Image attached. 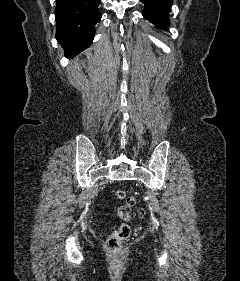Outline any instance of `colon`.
Masks as SVG:
<instances>
[{
    "mask_svg": "<svg viewBox=\"0 0 240 281\" xmlns=\"http://www.w3.org/2000/svg\"><path fill=\"white\" fill-rule=\"evenodd\" d=\"M116 196L123 200L124 204L118 209V216L122 220L119 227L113 231L106 240V250L110 254L120 252L123 243L129 238L131 229L128 224L134 217L132 208L136 205V198L123 190L116 191ZM143 211L139 210L138 214L142 215Z\"/></svg>",
    "mask_w": 240,
    "mask_h": 281,
    "instance_id": "colon-1",
    "label": "colon"
}]
</instances>
